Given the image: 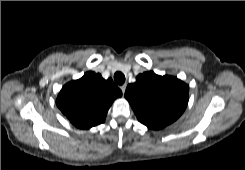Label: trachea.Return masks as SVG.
<instances>
[{"label": "trachea", "instance_id": "trachea-1", "mask_svg": "<svg viewBox=\"0 0 245 170\" xmlns=\"http://www.w3.org/2000/svg\"><path fill=\"white\" fill-rule=\"evenodd\" d=\"M114 80L118 85H122L125 82V75L118 71L114 74Z\"/></svg>", "mask_w": 245, "mask_h": 170}]
</instances>
